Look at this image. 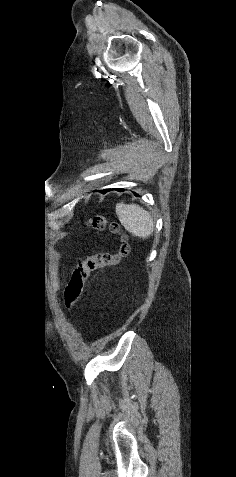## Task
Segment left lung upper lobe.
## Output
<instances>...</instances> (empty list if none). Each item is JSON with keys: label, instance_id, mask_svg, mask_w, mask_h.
<instances>
[{"label": "left lung upper lobe", "instance_id": "1", "mask_svg": "<svg viewBox=\"0 0 236 477\" xmlns=\"http://www.w3.org/2000/svg\"><path fill=\"white\" fill-rule=\"evenodd\" d=\"M106 191H107V189L103 190L102 192H106Z\"/></svg>", "mask_w": 236, "mask_h": 477}]
</instances>
